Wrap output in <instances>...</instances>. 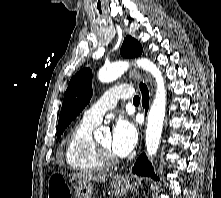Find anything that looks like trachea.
Instances as JSON below:
<instances>
[{"instance_id":"trachea-1","label":"trachea","mask_w":221,"mask_h":198,"mask_svg":"<svg viewBox=\"0 0 221 198\" xmlns=\"http://www.w3.org/2000/svg\"><path fill=\"white\" fill-rule=\"evenodd\" d=\"M133 103H134V104L140 103V98H139L138 96H135V97L133 98Z\"/></svg>"}]
</instances>
